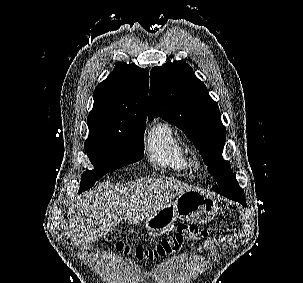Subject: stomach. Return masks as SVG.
<instances>
[{
  "label": "stomach",
  "mask_w": 303,
  "mask_h": 283,
  "mask_svg": "<svg viewBox=\"0 0 303 283\" xmlns=\"http://www.w3.org/2000/svg\"><path fill=\"white\" fill-rule=\"evenodd\" d=\"M217 211L218 204L214 198L202 192L189 190L145 219L143 225L149 235L157 236L170 229L177 219L191 223H205L211 221Z\"/></svg>",
  "instance_id": "0dacf381"
}]
</instances>
